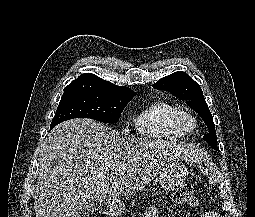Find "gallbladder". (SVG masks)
<instances>
[{"mask_svg": "<svg viewBox=\"0 0 255 217\" xmlns=\"http://www.w3.org/2000/svg\"><path fill=\"white\" fill-rule=\"evenodd\" d=\"M96 210V204L90 200H80L73 211L71 217H92Z\"/></svg>", "mask_w": 255, "mask_h": 217, "instance_id": "obj_1", "label": "gallbladder"}]
</instances>
